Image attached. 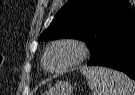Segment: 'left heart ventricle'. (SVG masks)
I'll return each mask as SVG.
<instances>
[{
  "label": "left heart ventricle",
  "mask_w": 135,
  "mask_h": 95,
  "mask_svg": "<svg viewBox=\"0 0 135 95\" xmlns=\"http://www.w3.org/2000/svg\"><path fill=\"white\" fill-rule=\"evenodd\" d=\"M77 53L74 48L70 46H58L50 51L46 58V66L49 69L61 68L72 62Z\"/></svg>",
  "instance_id": "b2bd125f"
}]
</instances>
